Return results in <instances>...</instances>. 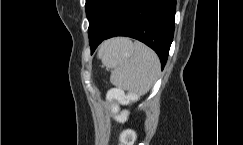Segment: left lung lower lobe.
Returning <instances> with one entry per match:
<instances>
[{"mask_svg":"<svg viewBox=\"0 0 243 145\" xmlns=\"http://www.w3.org/2000/svg\"><path fill=\"white\" fill-rule=\"evenodd\" d=\"M176 0H127L108 29L89 25L91 53L105 39L129 36L151 47L165 66L174 34Z\"/></svg>","mask_w":243,"mask_h":145,"instance_id":"0a47b994","label":"left lung lower lobe"}]
</instances>
